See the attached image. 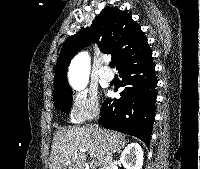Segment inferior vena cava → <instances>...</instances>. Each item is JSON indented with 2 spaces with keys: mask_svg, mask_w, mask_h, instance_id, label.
Listing matches in <instances>:
<instances>
[{
  "mask_svg": "<svg viewBox=\"0 0 200 169\" xmlns=\"http://www.w3.org/2000/svg\"><path fill=\"white\" fill-rule=\"evenodd\" d=\"M96 128H98V125H96ZM113 167V161H112V153L109 151H107L106 157L104 159V164L103 167L101 169H112Z\"/></svg>",
  "mask_w": 200,
  "mask_h": 169,
  "instance_id": "1",
  "label": "inferior vena cava"
}]
</instances>
